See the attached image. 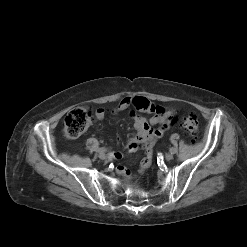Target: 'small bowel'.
Listing matches in <instances>:
<instances>
[{
    "mask_svg": "<svg viewBox=\"0 0 247 247\" xmlns=\"http://www.w3.org/2000/svg\"><path fill=\"white\" fill-rule=\"evenodd\" d=\"M129 110L134 121L136 135L132 136L126 144L128 152L144 150L146 157L141 161L139 173L144 172L151 164L152 147L157 139L161 138L168 129L171 118L174 116V110L166 109L162 106L150 102L144 97L134 96L125 97L119 104L109 109L112 114H118ZM137 112H147L151 114L149 118L139 115ZM106 110L99 108L95 112L98 120L104 119ZM156 126V127H155ZM116 159H121L120 152L115 153ZM117 173L122 176H130V171L124 166L119 165L116 168Z\"/></svg>",
    "mask_w": 247,
    "mask_h": 247,
    "instance_id": "c3829d8e",
    "label": "small bowel"
}]
</instances>
